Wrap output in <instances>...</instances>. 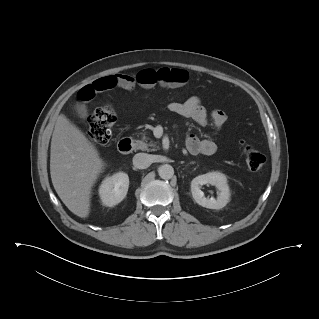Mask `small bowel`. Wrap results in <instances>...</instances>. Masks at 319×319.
<instances>
[{"mask_svg":"<svg viewBox=\"0 0 319 319\" xmlns=\"http://www.w3.org/2000/svg\"><path fill=\"white\" fill-rule=\"evenodd\" d=\"M187 79L188 75L185 70L170 68H161L158 70L145 69L139 72L136 78L125 74L108 75L84 86L79 91L78 97L81 101H88L92 99L96 93L104 92L115 87L132 90L136 84L146 89L152 88L155 85L174 88L185 84ZM167 110L174 114L190 118L200 125L212 123L217 128H221L227 120V116L222 110L216 109L208 112L202 105L201 99L197 96H191L183 102H171L167 105ZM185 146L186 149L194 155L202 154L209 156L216 151V144L213 141L199 139L195 135L187 137Z\"/></svg>","mask_w":319,"mask_h":319,"instance_id":"1","label":"small bowel"}]
</instances>
